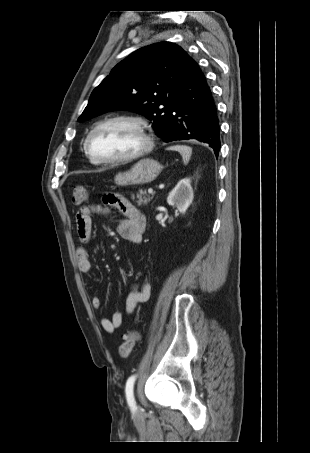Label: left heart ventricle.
<instances>
[{"label": "left heart ventricle", "instance_id": "1", "mask_svg": "<svg viewBox=\"0 0 310 453\" xmlns=\"http://www.w3.org/2000/svg\"><path fill=\"white\" fill-rule=\"evenodd\" d=\"M143 139L137 128L127 122H114L101 127L91 139L93 152L104 158H120L141 148Z\"/></svg>", "mask_w": 310, "mask_h": 453}]
</instances>
